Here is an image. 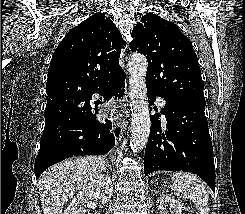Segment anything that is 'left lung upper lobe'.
I'll use <instances>...</instances> for the list:
<instances>
[{"label": "left lung upper lobe", "instance_id": "left-lung-upper-lobe-1", "mask_svg": "<svg viewBox=\"0 0 245 214\" xmlns=\"http://www.w3.org/2000/svg\"><path fill=\"white\" fill-rule=\"evenodd\" d=\"M133 52L147 57L146 87L172 102H205L204 83L191 41L177 25L147 13L132 31Z\"/></svg>", "mask_w": 245, "mask_h": 214}]
</instances>
